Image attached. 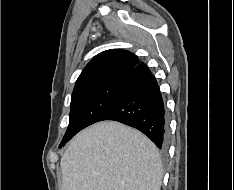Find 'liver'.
<instances>
[{
	"label": "liver",
	"mask_w": 234,
	"mask_h": 190,
	"mask_svg": "<svg viewBox=\"0 0 234 190\" xmlns=\"http://www.w3.org/2000/svg\"><path fill=\"white\" fill-rule=\"evenodd\" d=\"M62 190H160L158 149L140 131L115 121L79 132L60 162Z\"/></svg>",
	"instance_id": "6515ba94"
}]
</instances>
